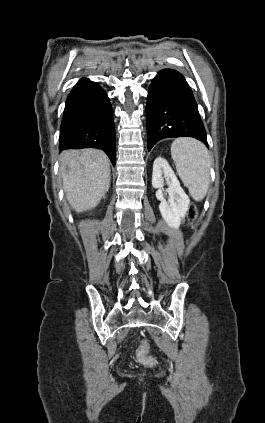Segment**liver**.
Instances as JSON below:
<instances>
[{
  "label": "liver",
  "mask_w": 265,
  "mask_h": 423,
  "mask_svg": "<svg viewBox=\"0 0 265 423\" xmlns=\"http://www.w3.org/2000/svg\"><path fill=\"white\" fill-rule=\"evenodd\" d=\"M110 161L98 149L68 150L60 155L67 200L76 212L98 205L110 186Z\"/></svg>",
  "instance_id": "6515ba94"
}]
</instances>
